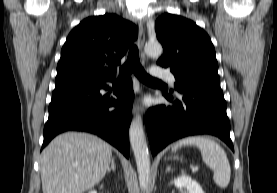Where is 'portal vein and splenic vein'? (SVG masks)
I'll list each match as a JSON object with an SVG mask.
<instances>
[{"instance_id":"portal-vein-and-splenic-vein-1","label":"portal vein and splenic vein","mask_w":277,"mask_h":193,"mask_svg":"<svg viewBox=\"0 0 277 193\" xmlns=\"http://www.w3.org/2000/svg\"><path fill=\"white\" fill-rule=\"evenodd\" d=\"M198 169H199L198 166H193V167H192V172H196V171H198Z\"/></svg>"}]
</instances>
